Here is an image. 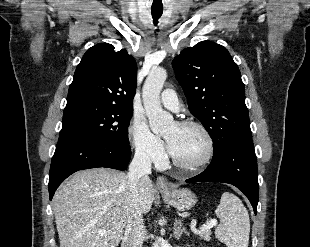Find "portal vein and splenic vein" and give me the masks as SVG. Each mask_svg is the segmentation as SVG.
<instances>
[{
  "mask_svg": "<svg viewBox=\"0 0 310 247\" xmlns=\"http://www.w3.org/2000/svg\"><path fill=\"white\" fill-rule=\"evenodd\" d=\"M215 225H217V221H216V220H210V221H208L206 224H203V225L200 227V229L197 230L196 232L199 233V232L204 231V230H206V229H210V228H212V227L215 226ZM98 233H99L100 235H104V234H106V231H105V230H99Z\"/></svg>",
  "mask_w": 310,
  "mask_h": 247,
  "instance_id": "obj_1",
  "label": "portal vein and splenic vein"
}]
</instances>
